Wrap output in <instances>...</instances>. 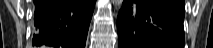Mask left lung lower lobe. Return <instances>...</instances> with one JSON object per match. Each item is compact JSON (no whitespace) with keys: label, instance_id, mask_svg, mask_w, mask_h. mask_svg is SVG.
I'll return each instance as SVG.
<instances>
[{"label":"left lung lower lobe","instance_id":"0a47b994","mask_svg":"<svg viewBox=\"0 0 213 48\" xmlns=\"http://www.w3.org/2000/svg\"><path fill=\"white\" fill-rule=\"evenodd\" d=\"M184 0H124L119 48H184Z\"/></svg>","mask_w":213,"mask_h":48}]
</instances>
